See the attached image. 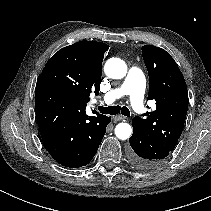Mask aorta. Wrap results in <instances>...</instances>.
Here are the masks:
<instances>
[{
    "instance_id": "1",
    "label": "aorta",
    "mask_w": 211,
    "mask_h": 211,
    "mask_svg": "<svg viewBox=\"0 0 211 211\" xmlns=\"http://www.w3.org/2000/svg\"><path fill=\"white\" fill-rule=\"evenodd\" d=\"M104 71L109 78L121 79L127 74V65L119 58H110L105 63ZM115 135L120 140H126L132 135V127L128 123H119Z\"/></svg>"
}]
</instances>
